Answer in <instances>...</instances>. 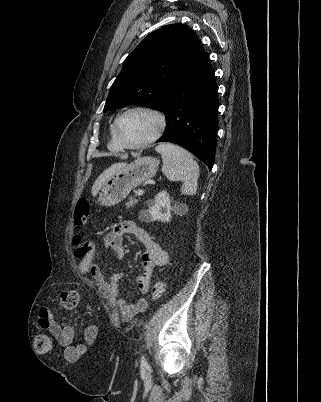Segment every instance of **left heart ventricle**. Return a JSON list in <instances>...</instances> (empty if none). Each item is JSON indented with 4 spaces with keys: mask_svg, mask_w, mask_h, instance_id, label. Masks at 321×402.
<instances>
[{
    "mask_svg": "<svg viewBox=\"0 0 321 402\" xmlns=\"http://www.w3.org/2000/svg\"><path fill=\"white\" fill-rule=\"evenodd\" d=\"M157 120L144 112H132L126 115L119 124L121 138L128 144L140 143L154 134Z\"/></svg>",
    "mask_w": 321,
    "mask_h": 402,
    "instance_id": "1",
    "label": "left heart ventricle"
}]
</instances>
